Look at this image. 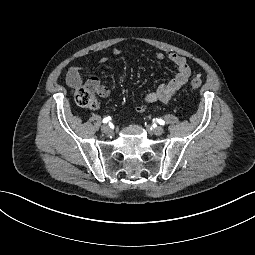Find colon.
Here are the masks:
<instances>
[{"instance_id":"obj_1","label":"colon","mask_w":255,"mask_h":255,"mask_svg":"<svg viewBox=\"0 0 255 255\" xmlns=\"http://www.w3.org/2000/svg\"><path fill=\"white\" fill-rule=\"evenodd\" d=\"M203 81L200 77H193L190 81L192 89H198L202 86ZM73 97L75 102L84 108H92L96 104V97L94 92L86 86L78 87L73 90Z\"/></svg>"}]
</instances>
